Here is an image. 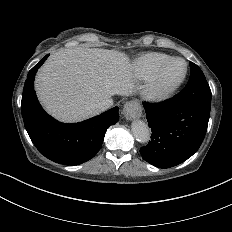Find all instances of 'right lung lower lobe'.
Masks as SVG:
<instances>
[{
  "label": "right lung lower lobe",
  "instance_id": "98d812e1",
  "mask_svg": "<svg viewBox=\"0 0 232 232\" xmlns=\"http://www.w3.org/2000/svg\"><path fill=\"white\" fill-rule=\"evenodd\" d=\"M46 55L28 73L22 94L21 112L35 147L48 159L64 165H79L100 150L107 129L119 119L118 107L75 124H64L49 116L34 91V77Z\"/></svg>",
  "mask_w": 232,
  "mask_h": 232
}]
</instances>
